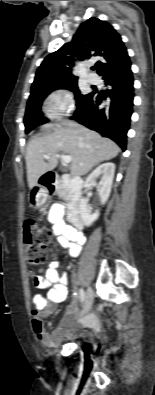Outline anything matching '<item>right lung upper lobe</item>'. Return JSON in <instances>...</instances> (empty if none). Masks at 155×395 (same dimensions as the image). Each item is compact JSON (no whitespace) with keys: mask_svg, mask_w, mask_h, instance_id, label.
<instances>
[{"mask_svg":"<svg viewBox=\"0 0 155 395\" xmlns=\"http://www.w3.org/2000/svg\"><path fill=\"white\" fill-rule=\"evenodd\" d=\"M95 56L101 58L97 62L99 75L131 64L124 42L112 25L90 18L80 25L72 42L64 44L44 59L37 69L30 97L47 86L77 80L78 77L72 74L75 57L84 60Z\"/></svg>","mask_w":155,"mask_h":395,"instance_id":"1","label":"right lung upper lobe"}]
</instances>
